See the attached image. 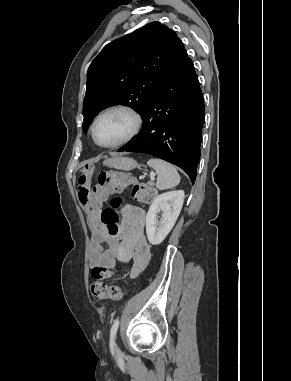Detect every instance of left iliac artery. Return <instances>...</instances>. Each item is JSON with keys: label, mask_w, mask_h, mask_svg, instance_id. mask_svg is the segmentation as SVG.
I'll return each mask as SVG.
<instances>
[{"label": "left iliac artery", "mask_w": 291, "mask_h": 381, "mask_svg": "<svg viewBox=\"0 0 291 381\" xmlns=\"http://www.w3.org/2000/svg\"><path fill=\"white\" fill-rule=\"evenodd\" d=\"M118 326H119V319L117 318L111 327V332H110V346L111 347H113L115 345L114 337H115V334L117 332Z\"/></svg>", "instance_id": "44dca946"}]
</instances>
